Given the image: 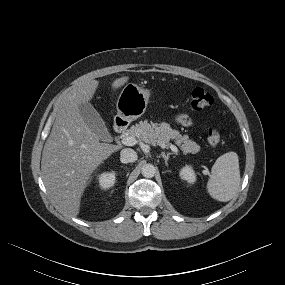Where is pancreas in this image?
<instances>
[{
    "label": "pancreas",
    "instance_id": "obj_1",
    "mask_svg": "<svg viewBox=\"0 0 285 285\" xmlns=\"http://www.w3.org/2000/svg\"><path fill=\"white\" fill-rule=\"evenodd\" d=\"M128 136L138 137L145 143L152 145H169L170 140H174L184 153H197L200 146L189 139L188 135H182L174 130L167 123H148L141 121L136 126H132L127 131Z\"/></svg>",
    "mask_w": 285,
    "mask_h": 285
}]
</instances>
